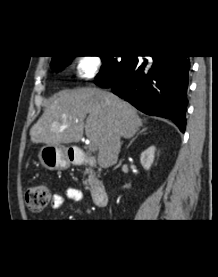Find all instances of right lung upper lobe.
Returning <instances> with one entry per match:
<instances>
[{
  "mask_svg": "<svg viewBox=\"0 0 218 277\" xmlns=\"http://www.w3.org/2000/svg\"><path fill=\"white\" fill-rule=\"evenodd\" d=\"M57 57H60V56H53L52 60L55 59V58H57Z\"/></svg>",
  "mask_w": 218,
  "mask_h": 277,
  "instance_id": "obj_1",
  "label": "right lung upper lobe"
}]
</instances>
